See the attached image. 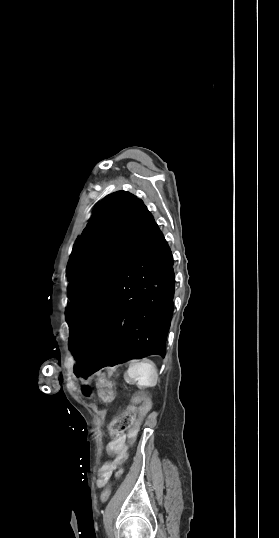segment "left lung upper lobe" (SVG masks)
Wrapping results in <instances>:
<instances>
[{"mask_svg":"<svg viewBox=\"0 0 279 538\" xmlns=\"http://www.w3.org/2000/svg\"><path fill=\"white\" fill-rule=\"evenodd\" d=\"M155 221L136 196L118 191L99 202L67 266L70 331L116 279Z\"/></svg>","mask_w":279,"mask_h":538,"instance_id":"5c2ea615","label":"left lung upper lobe"}]
</instances>
